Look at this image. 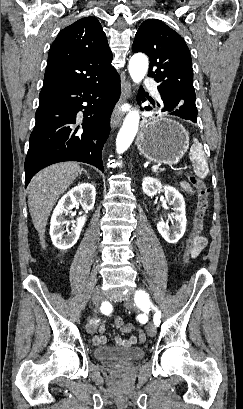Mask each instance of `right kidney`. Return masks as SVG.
<instances>
[{"label": "right kidney", "mask_w": 243, "mask_h": 409, "mask_svg": "<svg viewBox=\"0 0 243 409\" xmlns=\"http://www.w3.org/2000/svg\"><path fill=\"white\" fill-rule=\"evenodd\" d=\"M95 196V187L89 183H82L71 189L59 200L50 222V236L55 247L60 250H67L75 245L86 222V216L77 218L74 228L68 231L64 230L67 223L65 215L78 203H81L85 211L93 209ZM65 232H67L66 235Z\"/></svg>", "instance_id": "right-kidney-1"}]
</instances>
